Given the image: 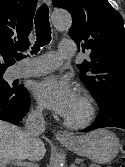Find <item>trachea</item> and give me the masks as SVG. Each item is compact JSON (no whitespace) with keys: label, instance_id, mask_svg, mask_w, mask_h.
<instances>
[{"label":"trachea","instance_id":"obj_1","mask_svg":"<svg viewBox=\"0 0 125 167\" xmlns=\"http://www.w3.org/2000/svg\"><path fill=\"white\" fill-rule=\"evenodd\" d=\"M35 29L37 41L32 47V53L36 54L41 46L47 45L51 41V27L49 22V11L46 5H42L35 16ZM16 60L24 58L22 54L15 55Z\"/></svg>","mask_w":125,"mask_h":167}]
</instances>
